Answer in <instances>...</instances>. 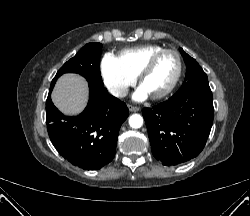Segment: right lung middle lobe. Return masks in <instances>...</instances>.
Here are the masks:
<instances>
[{"mask_svg":"<svg viewBox=\"0 0 250 216\" xmlns=\"http://www.w3.org/2000/svg\"><path fill=\"white\" fill-rule=\"evenodd\" d=\"M101 49L100 43L86 44L59 69L51 85L54 86L58 77L64 73H77L82 75L89 84L104 86L100 73Z\"/></svg>","mask_w":250,"mask_h":216,"instance_id":"1","label":"right lung middle lobe"}]
</instances>
